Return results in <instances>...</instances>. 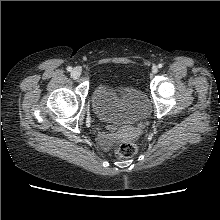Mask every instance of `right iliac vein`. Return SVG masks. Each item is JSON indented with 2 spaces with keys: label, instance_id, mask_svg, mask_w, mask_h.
<instances>
[{
  "label": "right iliac vein",
  "instance_id": "63e3f726",
  "mask_svg": "<svg viewBox=\"0 0 220 220\" xmlns=\"http://www.w3.org/2000/svg\"><path fill=\"white\" fill-rule=\"evenodd\" d=\"M71 75L73 78H78L81 75V69L79 67L74 68Z\"/></svg>",
  "mask_w": 220,
  "mask_h": 220
}]
</instances>
